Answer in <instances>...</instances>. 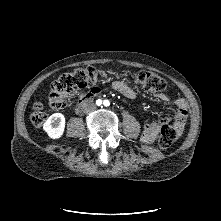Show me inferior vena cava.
Instances as JSON below:
<instances>
[{
    "label": "inferior vena cava",
    "mask_w": 221,
    "mask_h": 221,
    "mask_svg": "<svg viewBox=\"0 0 221 221\" xmlns=\"http://www.w3.org/2000/svg\"><path fill=\"white\" fill-rule=\"evenodd\" d=\"M95 109H96V105L93 104V103H89V104H87V105L85 106L84 112H85V113H89V112H91V111H93V110H95Z\"/></svg>",
    "instance_id": "1"
}]
</instances>
